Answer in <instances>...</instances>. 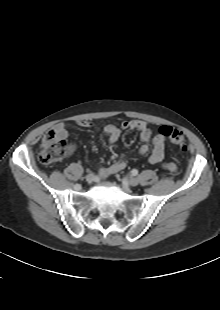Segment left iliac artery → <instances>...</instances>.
<instances>
[{"label": "left iliac artery", "instance_id": "left-iliac-artery-1", "mask_svg": "<svg viewBox=\"0 0 220 310\" xmlns=\"http://www.w3.org/2000/svg\"><path fill=\"white\" fill-rule=\"evenodd\" d=\"M131 173H132L133 176H136L138 174V170L137 169H133L131 171Z\"/></svg>", "mask_w": 220, "mask_h": 310}]
</instances>
